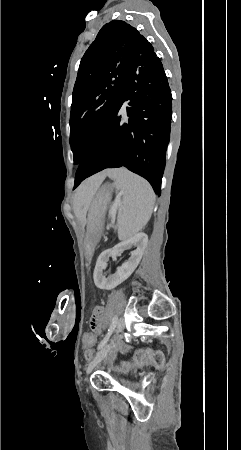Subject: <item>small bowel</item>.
I'll return each mask as SVG.
<instances>
[{
  "label": "small bowel",
  "mask_w": 241,
  "mask_h": 450,
  "mask_svg": "<svg viewBox=\"0 0 241 450\" xmlns=\"http://www.w3.org/2000/svg\"><path fill=\"white\" fill-rule=\"evenodd\" d=\"M95 308L96 309H94L92 312L93 316H89V318H88V323H89V325H91V328L93 330H102L103 329V318H102L103 312L101 309H99L100 307L98 305Z\"/></svg>",
  "instance_id": "c3829d8e"
}]
</instances>
